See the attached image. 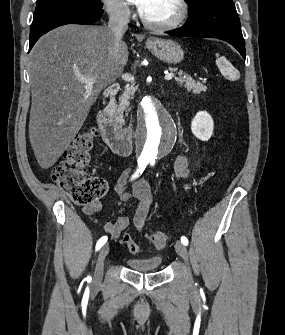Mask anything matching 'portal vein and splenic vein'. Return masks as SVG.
<instances>
[{"instance_id": "1", "label": "portal vein and splenic vein", "mask_w": 285, "mask_h": 335, "mask_svg": "<svg viewBox=\"0 0 285 335\" xmlns=\"http://www.w3.org/2000/svg\"><path fill=\"white\" fill-rule=\"evenodd\" d=\"M164 74L165 80H172V78H174V74H168V72H164ZM77 80L83 82V84H95L96 76H79ZM122 80H125V82H134V78H132L130 74H123Z\"/></svg>"}]
</instances>
